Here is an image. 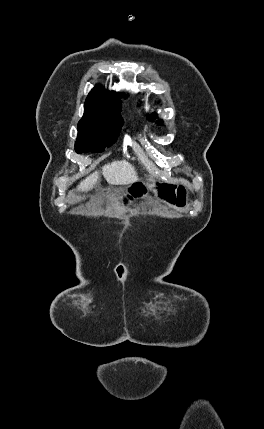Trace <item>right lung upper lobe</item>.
I'll use <instances>...</instances> for the list:
<instances>
[{
  "label": "right lung upper lobe",
  "mask_w": 264,
  "mask_h": 429,
  "mask_svg": "<svg viewBox=\"0 0 264 429\" xmlns=\"http://www.w3.org/2000/svg\"><path fill=\"white\" fill-rule=\"evenodd\" d=\"M85 105L121 106L114 92L106 91L103 87H95L86 98Z\"/></svg>",
  "instance_id": "right-lung-upper-lobe-1"
}]
</instances>
